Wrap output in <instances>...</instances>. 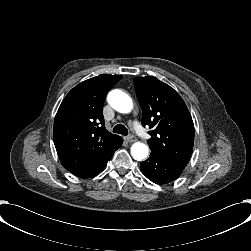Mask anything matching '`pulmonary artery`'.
Instances as JSON below:
<instances>
[{
    "instance_id": "1",
    "label": "pulmonary artery",
    "mask_w": 251,
    "mask_h": 251,
    "mask_svg": "<svg viewBox=\"0 0 251 251\" xmlns=\"http://www.w3.org/2000/svg\"><path fill=\"white\" fill-rule=\"evenodd\" d=\"M134 126L135 127L133 128V131L136 134H138L141 138L147 140L150 137V134L140 126L137 120H134Z\"/></svg>"
}]
</instances>
